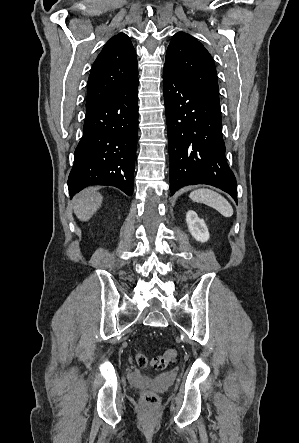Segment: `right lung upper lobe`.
Returning a JSON list of instances; mask_svg holds the SVG:
<instances>
[{"mask_svg":"<svg viewBox=\"0 0 299 443\" xmlns=\"http://www.w3.org/2000/svg\"><path fill=\"white\" fill-rule=\"evenodd\" d=\"M136 52L128 36L119 33L104 46L88 79L86 109L137 79Z\"/></svg>","mask_w":299,"mask_h":443,"instance_id":"cb5924a9","label":"right lung upper lobe"}]
</instances>
